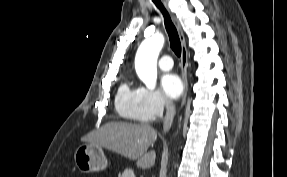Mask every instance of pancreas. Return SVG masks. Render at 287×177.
I'll list each match as a JSON object with an SVG mask.
<instances>
[{"label": "pancreas", "instance_id": "1", "mask_svg": "<svg viewBox=\"0 0 287 177\" xmlns=\"http://www.w3.org/2000/svg\"><path fill=\"white\" fill-rule=\"evenodd\" d=\"M118 177H135V175L131 169H126L122 173H119Z\"/></svg>", "mask_w": 287, "mask_h": 177}]
</instances>
